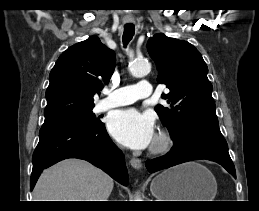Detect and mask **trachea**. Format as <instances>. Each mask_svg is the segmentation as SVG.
I'll use <instances>...</instances> for the list:
<instances>
[{
    "label": "trachea",
    "instance_id": "3493384b",
    "mask_svg": "<svg viewBox=\"0 0 259 211\" xmlns=\"http://www.w3.org/2000/svg\"><path fill=\"white\" fill-rule=\"evenodd\" d=\"M135 33V27L133 24H127L124 26V33L122 36L123 44L126 46L131 39L133 38Z\"/></svg>",
    "mask_w": 259,
    "mask_h": 211
}]
</instances>
